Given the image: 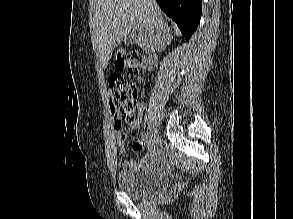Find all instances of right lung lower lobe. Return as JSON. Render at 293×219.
Wrapping results in <instances>:
<instances>
[{"mask_svg": "<svg viewBox=\"0 0 293 219\" xmlns=\"http://www.w3.org/2000/svg\"><path fill=\"white\" fill-rule=\"evenodd\" d=\"M161 9L178 25L186 40L196 30L202 11V0H156Z\"/></svg>", "mask_w": 293, "mask_h": 219, "instance_id": "98d812e1", "label": "right lung lower lobe"}]
</instances>
